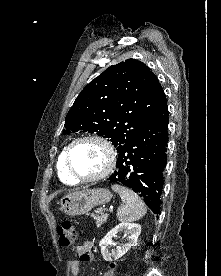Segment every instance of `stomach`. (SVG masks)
I'll return each mask as SVG.
<instances>
[{"mask_svg":"<svg viewBox=\"0 0 221 276\" xmlns=\"http://www.w3.org/2000/svg\"><path fill=\"white\" fill-rule=\"evenodd\" d=\"M111 197V192L103 188L75 192L60 200V210L69 216L82 215L95 206L108 203Z\"/></svg>","mask_w":221,"mask_h":276,"instance_id":"stomach-1","label":"stomach"}]
</instances>
